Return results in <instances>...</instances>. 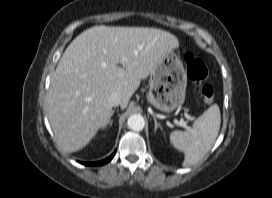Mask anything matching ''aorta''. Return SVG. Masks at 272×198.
<instances>
[{"instance_id":"aorta-1","label":"aorta","mask_w":272,"mask_h":198,"mask_svg":"<svg viewBox=\"0 0 272 198\" xmlns=\"http://www.w3.org/2000/svg\"><path fill=\"white\" fill-rule=\"evenodd\" d=\"M127 125L131 130L141 131L145 126V120L140 114H133L128 118Z\"/></svg>"}]
</instances>
